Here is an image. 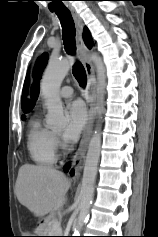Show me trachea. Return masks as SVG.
Returning a JSON list of instances; mask_svg holds the SVG:
<instances>
[{"instance_id":"trachea-1","label":"trachea","mask_w":158,"mask_h":237,"mask_svg":"<svg viewBox=\"0 0 158 237\" xmlns=\"http://www.w3.org/2000/svg\"><path fill=\"white\" fill-rule=\"evenodd\" d=\"M58 16L62 26V36L64 48L68 54H74L76 51L75 45V25L70 11L67 8L54 10ZM73 75L78 83L84 87L87 83L86 71L80 62H77L73 67Z\"/></svg>"}]
</instances>
